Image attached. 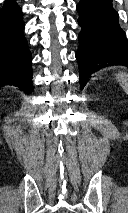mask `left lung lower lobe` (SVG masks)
Listing matches in <instances>:
<instances>
[{
	"mask_svg": "<svg viewBox=\"0 0 128 213\" xmlns=\"http://www.w3.org/2000/svg\"><path fill=\"white\" fill-rule=\"evenodd\" d=\"M76 9L82 27L76 59L83 89L90 74L108 64L128 66V41L112 0H80Z\"/></svg>",
	"mask_w": 128,
	"mask_h": 213,
	"instance_id": "obj_1",
	"label": "left lung lower lobe"
}]
</instances>
